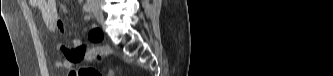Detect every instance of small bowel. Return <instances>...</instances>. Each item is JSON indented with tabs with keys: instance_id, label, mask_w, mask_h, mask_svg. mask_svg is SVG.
Instances as JSON below:
<instances>
[{
	"instance_id": "1",
	"label": "small bowel",
	"mask_w": 333,
	"mask_h": 76,
	"mask_svg": "<svg viewBox=\"0 0 333 76\" xmlns=\"http://www.w3.org/2000/svg\"><path fill=\"white\" fill-rule=\"evenodd\" d=\"M33 4L43 17L46 26L57 33H64L65 26L60 21L54 0H34ZM85 20L89 19V16L85 14ZM89 39L91 45L86 44L79 38H70L64 45L58 46L59 53L63 56V60H57L55 67L57 69H68L66 76H80L79 68L76 63H88L94 60L96 57L108 52L105 46L99 45V42L105 41V36L97 30L95 26L91 27L89 33ZM92 76V75H91Z\"/></svg>"
}]
</instances>
